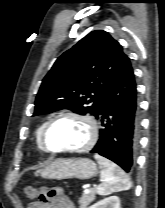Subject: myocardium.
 Listing matches in <instances>:
<instances>
[{"instance_id":"f54148a6","label":"myocardium","mask_w":165,"mask_h":208,"mask_svg":"<svg viewBox=\"0 0 165 208\" xmlns=\"http://www.w3.org/2000/svg\"><path fill=\"white\" fill-rule=\"evenodd\" d=\"M65 118H73L83 121L89 130V138L85 144L76 148L52 149L47 145L46 137L50 128L59 120ZM98 139V126L93 117L78 112H63L52 117L44 126L41 133L42 148L49 153L63 154V153H81L91 149Z\"/></svg>"}]
</instances>
